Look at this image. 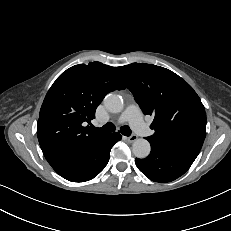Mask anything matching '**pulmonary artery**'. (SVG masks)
Masks as SVG:
<instances>
[{
	"mask_svg": "<svg viewBox=\"0 0 231 231\" xmlns=\"http://www.w3.org/2000/svg\"><path fill=\"white\" fill-rule=\"evenodd\" d=\"M118 122H128L137 134L145 136L151 134V129L143 121L141 111L139 107L135 104L126 107V109L121 113Z\"/></svg>",
	"mask_w": 231,
	"mask_h": 231,
	"instance_id": "e3ab8cb5",
	"label": "pulmonary artery"
}]
</instances>
